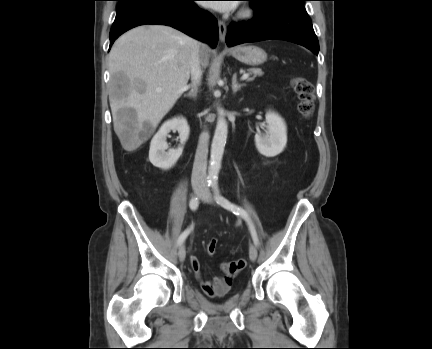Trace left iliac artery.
Instances as JSON below:
<instances>
[{
	"label": "left iliac artery",
	"mask_w": 432,
	"mask_h": 349,
	"mask_svg": "<svg viewBox=\"0 0 432 349\" xmlns=\"http://www.w3.org/2000/svg\"><path fill=\"white\" fill-rule=\"evenodd\" d=\"M211 186H212V189L215 193V198H216L217 203L220 204L222 207L232 211L234 214L241 215L243 217V219L247 222V224L249 226V230H250V233H251V236H252L254 243L256 245H258L259 240L257 237V233H256V230L254 228V225H253L248 213L243 208L231 203L225 197L221 196L219 194L217 182H213Z\"/></svg>",
	"instance_id": "obj_1"
}]
</instances>
